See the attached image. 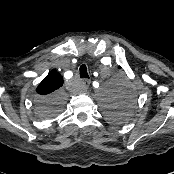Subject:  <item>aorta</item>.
<instances>
[{
    "label": "aorta",
    "mask_w": 174,
    "mask_h": 174,
    "mask_svg": "<svg viewBox=\"0 0 174 174\" xmlns=\"http://www.w3.org/2000/svg\"><path fill=\"white\" fill-rule=\"evenodd\" d=\"M103 94H104L105 96H109V94H108L107 92H105V91H103Z\"/></svg>",
    "instance_id": "762f6f07"
}]
</instances>
